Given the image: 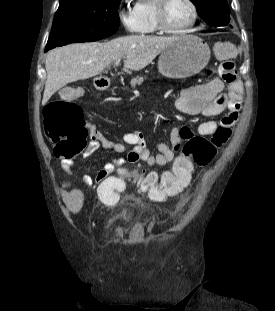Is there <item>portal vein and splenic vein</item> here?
<instances>
[{
	"label": "portal vein and splenic vein",
	"mask_w": 275,
	"mask_h": 311,
	"mask_svg": "<svg viewBox=\"0 0 275 311\" xmlns=\"http://www.w3.org/2000/svg\"><path fill=\"white\" fill-rule=\"evenodd\" d=\"M120 60H117L115 64H117Z\"/></svg>",
	"instance_id": "1"
}]
</instances>
